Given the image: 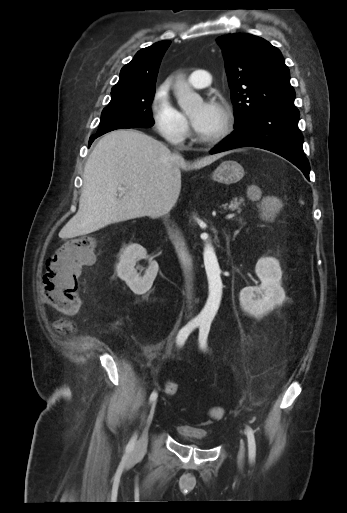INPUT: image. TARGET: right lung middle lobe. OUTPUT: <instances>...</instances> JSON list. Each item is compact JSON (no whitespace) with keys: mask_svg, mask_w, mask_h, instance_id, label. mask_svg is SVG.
<instances>
[{"mask_svg":"<svg viewBox=\"0 0 347 513\" xmlns=\"http://www.w3.org/2000/svg\"><path fill=\"white\" fill-rule=\"evenodd\" d=\"M155 93L152 88H127L111 92L110 103L101 114L96 134H105L121 128H149L153 126L151 103Z\"/></svg>","mask_w":347,"mask_h":513,"instance_id":"1","label":"right lung middle lobe"}]
</instances>
